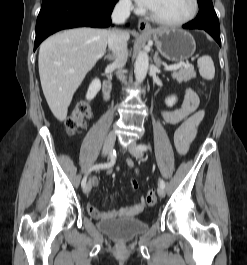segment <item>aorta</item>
Here are the masks:
<instances>
[{"label":"aorta","instance_id":"1","mask_svg":"<svg viewBox=\"0 0 247 265\" xmlns=\"http://www.w3.org/2000/svg\"><path fill=\"white\" fill-rule=\"evenodd\" d=\"M149 68V57L147 52L140 51L137 55L134 67V74L137 83H142Z\"/></svg>","mask_w":247,"mask_h":265}]
</instances>
